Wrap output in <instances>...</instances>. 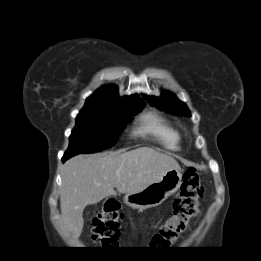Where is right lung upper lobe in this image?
<instances>
[{
	"instance_id": "1",
	"label": "right lung upper lobe",
	"mask_w": 261,
	"mask_h": 261,
	"mask_svg": "<svg viewBox=\"0 0 261 261\" xmlns=\"http://www.w3.org/2000/svg\"><path fill=\"white\" fill-rule=\"evenodd\" d=\"M116 87L112 85H105L98 89L93 95H91L87 100H124V101H144L138 98V94L134 96H124L120 98L117 93Z\"/></svg>"
}]
</instances>
